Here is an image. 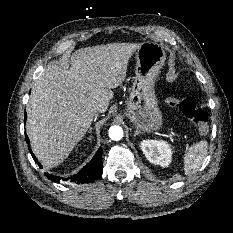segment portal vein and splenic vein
I'll use <instances>...</instances> for the list:
<instances>
[{
  "instance_id": "portal-vein-and-splenic-vein-1",
  "label": "portal vein and splenic vein",
  "mask_w": 233,
  "mask_h": 233,
  "mask_svg": "<svg viewBox=\"0 0 233 233\" xmlns=\"http://www.w3.org/2000/svg\"><path fill=\"white\" fill-rule=\"evenodd\" d=\"M171 134L180 139V136H179V135H177V134H175V133H173V132H171ZM184 141L186 142V147L188 148V147H189V143H188L186 140H184Z\"/></svg>"
}]
</instances>
